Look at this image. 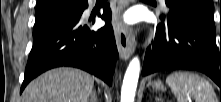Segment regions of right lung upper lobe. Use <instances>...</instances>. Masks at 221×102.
I'll use <instances>...</instances> for the list:
<instances>
[{"mask_svg":"<svg viewBox=\"0 0 221 102\" xmlns=\"http://www.w3.org/2000/svg\"><path fill=\"white\" fill-rule=\"evenodd\" d=\"M50 1L51 0H38L36 8L43 7V6L47 5ZM81 1H84V0H81Z\"/></svg>","mask_w":221,"mask_h":102,"instance_id":"right-lung-upper-lobe-1","label":"right lung upper lobe"}]
</instances>
